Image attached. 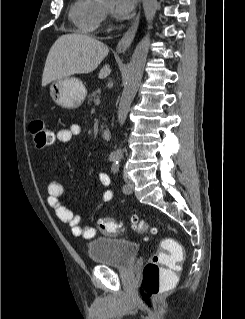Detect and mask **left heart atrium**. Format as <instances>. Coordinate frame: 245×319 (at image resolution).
<instances>
[{"mask_svg": "<svg viewBox=\"0 0 245 319\" xmlns=\"http://www.w3.org/2000/svg\"><path fill=\"white\" fill-rule=\"evenodd\" d=\"M137 0H115L114 12L119 18H126L133 8Z\"/></svg>", "mask_w": 245, "mask_h": 319, "instance_id": "1", "label": "left heart atrium"}]
</instances>
